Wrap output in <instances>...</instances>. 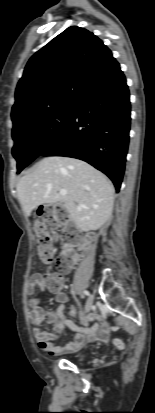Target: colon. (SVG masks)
<instances>
[{
	"label": "colon",
	"mask_w": 155,
	"mask_h": 413,
	"mask_svg": "<svg viewBox=\"0 0 155 413\" xmlns=\"http://www.w3.org/2000/svg\"><path fill=\"white\" fill-rule=\"evenodd\" d=\"M37 219L35 222V232L38 237V254L44 264H54L60 272H65L73 264L76 258V247L78 237L72 226L68 222L67 213L61 205L43 206L39 204L36 207ZM59 230L61 232L60 242L64 247L61 255L56 257L55 238L50 230ZM44 283L51 291H58L63 284L62 276L59 273L48 271L44 275ZM117 348L123 347V342H115Z\"/></svg>",
	"instance_id": "1"
}]
</instances>
